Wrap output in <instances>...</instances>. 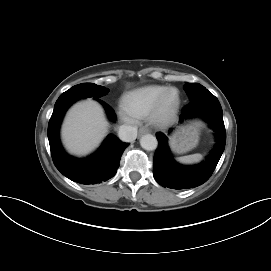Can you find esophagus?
I'll return each instance as SVG.
<instances>
[{"label":"esophagus","instance_id":"obj_1","mask_svg":"<svg viewBox=\"0 0 271 271\" xmlns=\"http://www.w3.org/2000/svg\"><path fill=\"white\" fill-rule=\"evenodd\" d=\"M148 132H149V129L146 128V127H141V128L139 129V133H140V134H145V133H148Z\"/></svg>","mask_w":271,"mask_h":271}]
</instances>
